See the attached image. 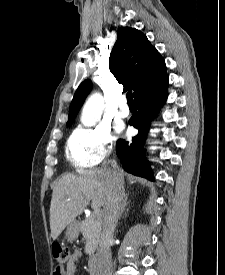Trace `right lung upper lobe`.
<instances>
[{
	"label": "right lung upper lobe",
	"mask_w": 225,
	"mask_h": 275,
	"mask_svg": "<svg viewBox=\"0 0 225 275\" xmlns=\"http://www.w3.org/2000/svg\"><path fill=\"white\" fill-rule=\"evenodd\" d=\"M117 34L109 57L110 71L124 88L134 91L136 98L167 75L165 62L141 31L123 27ZM91 88L90 80L79 85L70 105L67 125L72 124Z\"/></svg>",
	"instance_id": "obj_1"
}]
</instances>
